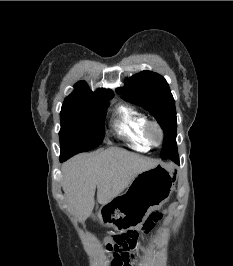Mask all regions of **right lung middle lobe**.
Instances as JSON below:
<instances>
[{
	"instance_id": "right-lung-middle-lobe-1",
	"label": "right lung middle lobe",
	"mask_w": 233,
	"mask_h": 266,
	"mask_svg": "<svg viewBox=\"0 0 233 266\" xmlns=\"http://www.w3.org/2000/svg\"><path fill=\"white\" fill-rule=\"evenodd\" d=\"M112 97L63 103L60 113V157L68 159L102 143L105 133L104 118L108 100Z\"/></svg>"
}]
</instances>
